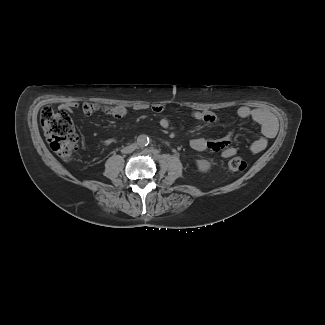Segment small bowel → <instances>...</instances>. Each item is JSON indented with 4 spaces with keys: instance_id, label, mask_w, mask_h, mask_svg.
<instances>
[{
    "instance_id": "obj_1",
    "label": "small bowel",
    "mask_w": 325,
    "mask_h": 325,
    "mask_svg": "<svg viewBox=\"0 0 325 325\" xmlns=\"http://www.w3.org/2000/svg\"><path fill=\"white\" fill-rule=\"evenodd\" d=\"M79 105L77 103H69L67 105H59L58 113L63 118V122L66 125L74 126L77 123V120L74 117H70L72 114V109L77 108ZM85 114H92L98 108L97 105L85 102L82 106ZM136 110H146L148 106L138 105L135 107ZM152 112L159 114L164 112L165 105L157 103L151 106ZM111 116L115 119L124 118L128 110L122 105L113 106L108 109ZM237 116L243 119L251 118L254 120L261 128L262 136L254 140L250 146L249 150L251 153H260L262 152L267 144L268 139L274 137L276 133V124L273 117L264 109L261 108H251L246 105H242L237 109ZM191 117L196 121L205 122L208 124H214L218 121L216 115L208 111H193ZM159 125L164 130H172L175 128L174 123L168 118H162L159 121ZM234 135L233 133H228L223 137L213 140H207L205 138H194L190 141V146L196 151H209V152H219L222 157L228 158L237 153V148L233 145Z\"/></svg>"
}]
</instances>
